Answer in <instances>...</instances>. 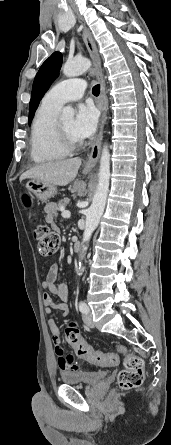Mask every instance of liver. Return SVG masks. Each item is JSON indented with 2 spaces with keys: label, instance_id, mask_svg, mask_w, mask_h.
<instances>
[{
  "label": "liver",
  "instance_id": "6515ba94",
  "mask_svg": "<svg viewBox=\"0 0 171 445\" xmlns=\"http://www.w3.org/2000/svg\"><path fill=\"white\" fill-rule=\"evenodd\" d=\"M80 165L79 158L40 164L24 172L20 176V181L31 178L53 185L66 186L76 178Z\"/></svg>",
  "mask_w": 171,
  "mask_h": 445
}]
</instances>
